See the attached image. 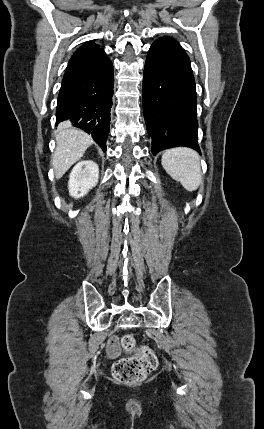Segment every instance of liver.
Segmentation results:
<instances>
[{
    "mask_svg": "<svg viewBox=\"0 0 264 429\" xmlns=\"http://www.w3.org/2000/svg\"><path fill=\"white\" fill-rule=\"evenodd\" d=\"M93 140L86 132L64 123L56 135V150L52 158L55 178H61L84 155Z\"/></svg>",
    "mask_w": 264,
    "mask_h": 429,
    "instance_id": "liver-1",
    "label": "liver"
}]
</instances>
